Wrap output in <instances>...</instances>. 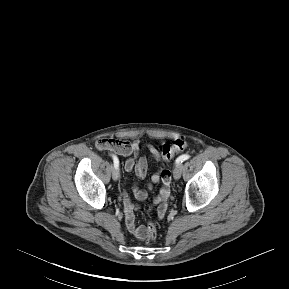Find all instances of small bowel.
Wrapping results in <instances>:
<instances>
[{
  "mask_svg": "<svg viewBox=\"0 0 289 289\" xmlns=\"http://www.w3.org/2000/svg\"><path fill=\"white\" fill-rule=\"evenodd\" d=\"M97 148L100 150L111 151L117 155L128 157L124 162V169L127 172H134L139 178H144L148 171V161L145 157H138L141 150V144L139 141H119L114 139H101L96 144ZM148 151L157 159L165 160L161 151H159L155 146L149 144L146 146ZM171 173L166 168H161L158 173L151 176V183L155 184L161 180L160 194L154 200L153 206H158L157 216L160 219L165 218L166 211L169 207L170 200V190H171ZM152 190V185L147 188H140L135 186L133 188V196L138 200H145ZM121 197L124 206L125 214V224L130 233L140 240H145L147 238L146 227L143 225H137L135 222V211L136 207L132 202L131 195L122 190Z\"/></svg>",
  "mask_w": 289,
  "mask_h": 289,
  "instance_id": "obj_1",
  "label": "small bowel"
}]
</instances>
